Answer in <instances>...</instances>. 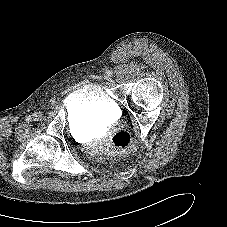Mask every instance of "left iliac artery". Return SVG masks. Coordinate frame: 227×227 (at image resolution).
I'll return each mask as SVG.
<instances>
[{
  "label": "left iliac artery",
  "instance_id": "1",
  "mask_svg": "<svg viewBox=\"0 0 227 227\" xmlns=\"http://www.w3.org/2000/svg\"><path fill=\"white\" fill-rule=\"evenodd\" d=\"M106 74H107L108 76H112V75H113V72H112L111 70H107V71H106Z\"/></svg>",
  "mask_w": 227,
  "mask_h": 227
}]
</instances>
